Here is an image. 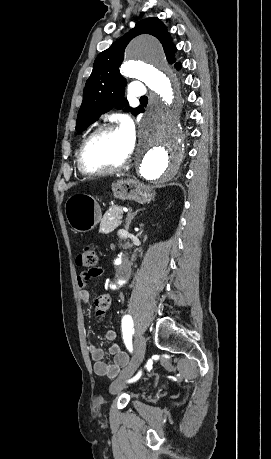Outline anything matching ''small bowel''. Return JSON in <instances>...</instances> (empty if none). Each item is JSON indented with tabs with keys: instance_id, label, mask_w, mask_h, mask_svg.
Instances as JSON below:
<instances>
[{
	"instance_id": "small-bowel-1",
	"label": "small bowel",
	"mask_w": 271,
	"mask_h": 459,
	"mask_svg": "<svg viewBox=\"0 0 271 459\" xmlns=\"http://www.w3.org/2000/svg\"><path fill=\"white\" fill-rule=\"evenodd\" d=\"M104 270L96 267L84 271L78 276V289L79 299L82 303H88L90 295L87 290L88 282L91 279L99 278L103 275ZM106 339L109 341V353L112 355V361H106L104 357V351L91 342L88 345V351L91 359L94 362V371L99 376H105L108 378H116L123 367H125L129 361L128 355L121 350L118 343L116 342L117 335L114 330H108L106 332Z\"/></svg>"
}]
</instances>
